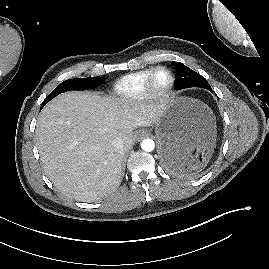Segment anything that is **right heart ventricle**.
<instances>
[{
    "mask_svg": "<svg viewBox=\"0 0 269 269\" xmlns=\"http://www.w3.org/2000/svg\"><path fill=\"white\" fill-rule=\"evenodd\" d=\"M151 69L141 70L122 77L114 86V94L123 101H136L144 95V85Z\"/></svg>",
    "mask_w": 269,
    "mask_h": 269,
    "instance_id": "right-heart-ventricle-1",
    "label": "right heart ventricle"
}]
</instances>
